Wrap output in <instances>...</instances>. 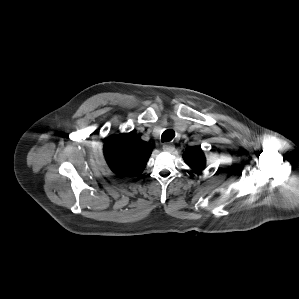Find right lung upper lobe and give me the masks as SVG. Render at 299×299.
I'll return each mask as SVG.
<instances>
[{"instance_id":"cb5924a9","label":"right lung upper lobe","mask_w":299,"mask_h":299,"mask_svg":"<svg viewBox=\"0 0 299 299\" xmlns=\"http://www.w3.org/2000/svg\"><path fill=\"white\" fill-rule=\"evenodd\" d=\"M103 150L107 164L118 176L141 174L152 152L151 146L133 133L108 137Z\"/></svg>"}]
</instances>
